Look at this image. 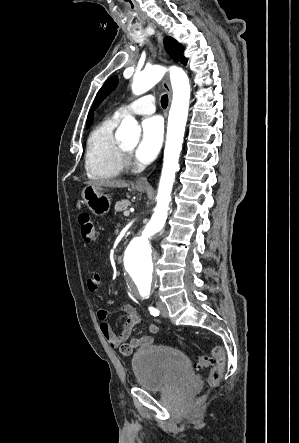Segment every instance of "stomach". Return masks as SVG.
<instances>
[{
	"mask_svg": "<svg viewBox=\"0 0 299 443\" xmlns=\"http://www.w3.org/2000/svg\"><path fill=\"white\" fill-rule=\"evenodd\" d=\"M139 192H145V187H136ZM84 204L96 216H104L110 211L111 198L104 193L103 188L87 185L82 191Z\"/></svg>",
	"mask_w": 299,
	"mask_h": 443,
	"instance_id": "stomach-1",
	"label": "stomach"
}]
</instances>
